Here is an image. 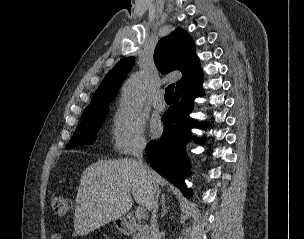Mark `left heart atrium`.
<instances>
[{
	"mask_svg": "<svg viewBox=\"0 0 304 239\" xmlns=\"http://www.w3.org/2000/svg\"><path fill=\"white\" fill-rule=\"evenodd\" d=\"M162 130V124L160 121H154L152 125V132L154 135H159Z\"/></svg>",
	"mask_w": 304,
	"mask_h": 239,
	"instance_id": "obj_1",
	"label": "left heart atrium"
}]
</instances>
